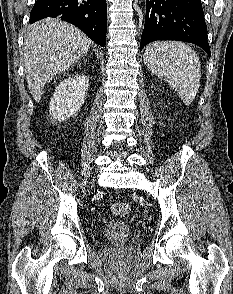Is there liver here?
I'll return each instance as SVG.
<instances>
[{"label":"liver","mask_w":233,"mask_h":294,"mask_svg":"<svg viewBox=\"0 0 233 294\" xmlns=\"http://www.w3.org/2000/svg\"><path fill=\"white\" fill-rule=\"evenodd\" d=\"M91 40L78 28L58 19H45L31 27L24 43L26 80L39 102L45 84L65 72L89 49Z\"/></svg>","instance_id":"liver-1"}]
</instances>
